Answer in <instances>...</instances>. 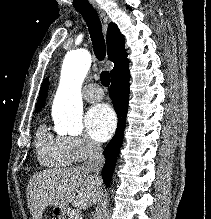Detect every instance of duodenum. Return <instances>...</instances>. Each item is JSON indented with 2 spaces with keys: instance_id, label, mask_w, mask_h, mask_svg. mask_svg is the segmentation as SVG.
<instances>
[{
  "instance_id": "obj_1",
  "label": "duodenum",
  "mask_w": 211,
  "mask_h": 219,
  "mask_svg": "<svg viewBox=\"0 0 211 219\" xmlns=\"http://www.w3.org/2000/svg\"><path fill=\"white\" fill-rule=\"evenodd\" d=\"M57 212H58L59 214H62V211H60V210H58Z\"/></svg>"
}]
</instances>
